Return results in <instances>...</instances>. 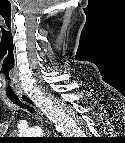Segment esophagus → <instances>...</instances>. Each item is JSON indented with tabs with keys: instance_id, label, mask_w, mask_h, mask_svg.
Returning <instances> with one entry per match:
<instances>
[{
	"instance_id": "obj_1",
	"label": "esophagus",
	"mask_w": 125,
	"mask_h": 143,
	"mask_svg": "<svg viewBox=\"0 0 125 143\" xmlns=\"http://www.w3.org/2000/svg\"><path fill=\"white\" fill-rule=\"evenodd\" d=\"M19 99L29 105L30 107H32L33 109H35L38 113H41L39 108H37L36 104L34 103V101L25 93H20L19 94Z\"/></svg>"
}]
</instances>
